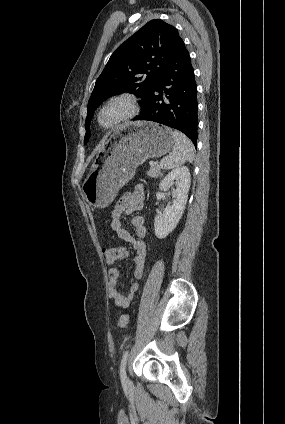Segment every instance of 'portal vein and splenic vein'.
<instances>
[{
	"label": "portal vein and splenic vein",
	"mask_w": 285,
	"mask_h": 424,
	"mask_svg": "<svg viewBox=\"0 0 285 424\" xmlns=\"http://www.w3.org/2000/svg\"><path fill=\"white\" fill-rule=\"evenodd\" d=\"M154 163L153 162H150V165L152 166Z\"/></svg>",
	"instance_id": "portal-vein-and-splenic-vein-1"
}]
</instances>
